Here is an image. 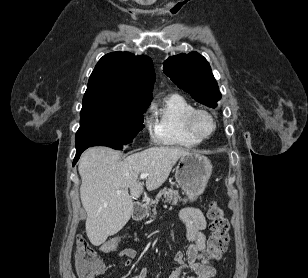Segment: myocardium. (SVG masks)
I'll list each match as a JSON object with an SVG mask.
<instances>
[{"instance_id": "f54148a6", "label": "myocardium", "mask_w": 308, "mask_h": 278, "mask_svg": "<svg viewBox=\"0 0 308 278\" xmlns=\"http://www.w3.org/2000/svg\"><path fill=\"white\" fill-rule=\"evenodd\" d=\"M198 115H205L212 122V126H213L212 130L208 134L201 135V134H199L196 131L195 126H194V120H195L196 116H198ZM184 126H185L186 131L193 138H195V139H197L199 141H203V140H206V139L210 138L215 133L216 128H217V123H216L215 117L209 111H207L205 109L194 108L193 110L189 111L185 115V117H184Z\"/></svg>"}]
</instances>
